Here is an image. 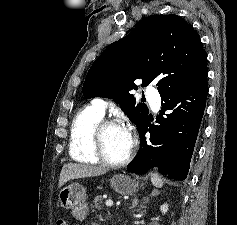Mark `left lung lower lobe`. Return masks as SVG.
Returning a JSON list of instances; mask_svg holds the SVG:
<instances>
[{
  "label": "left lung lower lobe",
  "instance_id": "1",
  "mask_svg": "<svg viewBox=\"0 0 237 225\" xmlns=\"http://www.w3.org/2000/svg\"><path fill=\"white\" fill-rule=\"evenodd\" d=\"M208 94L207 76L197 85H184L172 92L162 93V108L156 122L151 115L138 128L140 150L127 171L144 174L158 167L169 179L185 180L190 167ZM167 114L163 116L162 114ZM151 133L146 139V132Z\"/></svg>",
  "mask_w": 237,
  "mask_h": 225
}]
</instances>
